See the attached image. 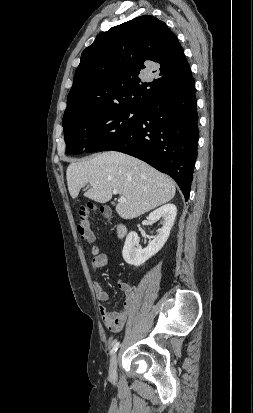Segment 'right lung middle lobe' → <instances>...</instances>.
I'll list each match as a JSON object with an SVG mask.
<instances>
[{
	"mask_svg": "<svg viewBox=\"0 0 253 413\" xmlns=\"http://www.w3.org/2000/svg\"><path fill=\"white\" fill-rule=\"evenodd\" d=\"M140 115V108H115L63 124L66 154L101 151L129 133Z\"/></svg>",
	"mask_w": 253,
	"mask_h": 413,
	"instance_id": "dd1d6c3e",
	"label": "right lung middle lobe"
}]
</instances>
